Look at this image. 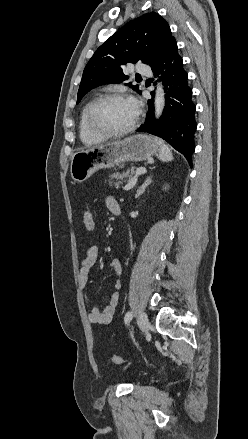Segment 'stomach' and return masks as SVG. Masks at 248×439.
Here are the masks:
<instances>
[{"mask_svg":"<svg viewBox=\"0 0 248 439\" xmlns=\"http://www.w3.org/2000/svg\"><path fill=\"white\" fill-rule=\"evenodd\" d=\"M163 142L138 134L76 151L71 159L70 174L75 182L86 181L99 169L111 168L127 161H143L160 152Z\"/></svg>","mask_w":248,"mask_h":439,"instance_id":"0dacf381","label":"stomach"}]
</instances>
